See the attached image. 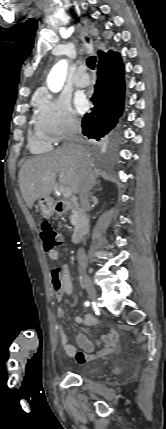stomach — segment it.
Returning <instances> with one entry per match:
<instances>
[{"label":"stomach","instance_id":"0dacf381","mask_svg":"<svg viewBox=\"0 0 166 429\" xmlns=\"http://www.w3.org/2000/svg\"><path fill=\"white\" fill-rule=\"evenodd\" d=\"M38 208L43 216L50 217L54 214V201L51 197H41L38 200Z\"/></svg>","mask_w":166,"mask_h":429}]
</instances>
